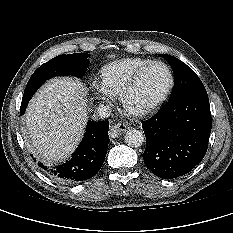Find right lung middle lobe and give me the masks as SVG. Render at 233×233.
<instances>
[{
  "label": "right lung middle lobe",
  "mask_w": 233,
  "mask_h": 233,
  "mask_svg": "<svg viewBox=\"0 0 233 233\" xmlns=\"http://www.w3.org/2000/svg\"><path fill=\"white\" fill-rule=\"evenodd\" d=\"M89 54L75 53L56 56L42 64L30 77L23 98L28 99L48 79L55 76L82 77L89 64Z\"/></svg>",
  "instance_id": "dd1d6c3e"
}]
</instances>
